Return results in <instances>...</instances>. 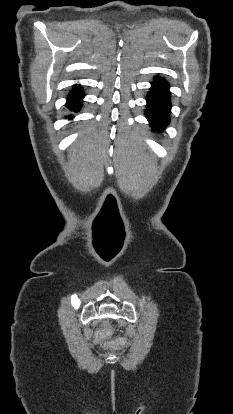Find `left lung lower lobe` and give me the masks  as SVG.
<instances>
[{
	"instance_id": "0a47b994",
	"label": "left lung lower lobe",
	"mask_w": 233,
	"mask_h": 414,
	"mask_svg": "<svg viewBox=\"0 0 233 414\" xmlns=\"http://www.w3.org/2000/svg\"><path fill=\"white\" fill-rule=\"evenodd\" d=\"M152 87L146 96V118L155 131H163L170 122V93L168 82L156 77L151 82Z\"/></svg>"
}]
</instances>
